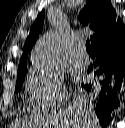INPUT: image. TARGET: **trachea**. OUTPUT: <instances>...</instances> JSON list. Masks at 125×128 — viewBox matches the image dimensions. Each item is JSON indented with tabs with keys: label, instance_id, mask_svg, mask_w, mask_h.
<instances>
[{
	"label": "trachea",
	"instance_id": "3493384b",
	"mask_svg": "<svg viewBox=\"0 0 125 128\" xmlns=\"http://www.w3.org/2000/svg\"><path fill=\"white\" fill-rule=\"evenodd\" d=\"M86 50H87V52H93V49L91 47L89 40L86 41Z\"/></svg>",
	"mask_w": 125,
	"mask_h": 128
}]
</instances>
